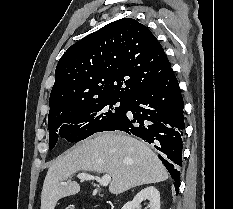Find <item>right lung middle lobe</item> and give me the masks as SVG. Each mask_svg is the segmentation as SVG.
I'll use <instances>...</instances> for the list:
<instances>
[{"mask_svg": "<svg viewBox=\"0 0 233 209\" xmlns=\"http://www.w3.org/2000/svg\"><path fill=\"white\" fill-rule=\"evenodd\" d=\"M116 103L120 106L114 107ZM126 105L125 99L106 98L49 113V149L54 148L59 137L68 142H78L96 132L105 131L123 118Z\"/></svg>", "mask_w": 233, "mask_h": 209, "instance_id": "right-lung-middle-lobe-1", "label": "right lung middle lobe"}]
</instances>
